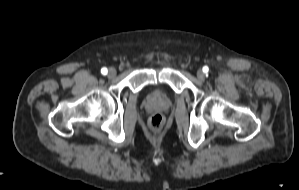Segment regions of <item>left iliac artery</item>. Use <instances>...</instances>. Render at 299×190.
Here are the masks:
<instances>
[{
  "label": "left iliac artery",
  "mask_w": 299,
  "mask_h": 190,
  "mask_svg": "<svg viewBox=\"0 0 299 190\" xmlns=\"http://www.w3.org/2000/svg\"><path fill=\"white\" fill-rule=\"evenodd\" d=\"M208 70H209V68H208L207 66L203 67V71H204V72H206V73H207V72H208Z\"/></svg>",
  "instance_id": "1"
}]
</instances>
